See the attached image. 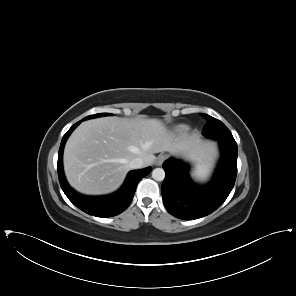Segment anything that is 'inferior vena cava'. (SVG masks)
Instances as JSON below:
<instances>
[{
	"mask_svg": "<svg viewBox=\"0 0 296 296\" xmlns=\"http://www.w3.org/2000/svg\"><path fill=\"white\" fill-rule=\"evenodd\" d=\"M143 165H144L143 159L139 157L134 158L129 163V166L131 169H139V168H142Z\"/></svg>",
	"mask_w": 296,
	"mask_h": 296,
	"instance_id": "obj_1",
	"label": "inferior vena cava"
}]
</instances>
